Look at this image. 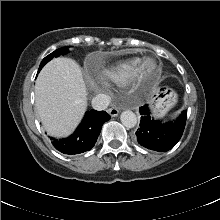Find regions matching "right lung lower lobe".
Segmentation results:
<instances>
[{
  "label": "right lung lower lobe",
  "instance_id": "1",
  "mask_svg": "<svg viewBox=\"0 0 220 220\" xmlns=\"http://www.w3.org/2000/svg\"><path fill=\"white\" fill-rule=\"evenodd\" d=\"M110 118L111 116L105 111H88L71 136L64 139L51 138L52 144L58 151L68 155L88 151L96 143L103 123Z\"/></svg>",
  "mask_w": 220,
  "mask_h": 220
}]
</instances>
